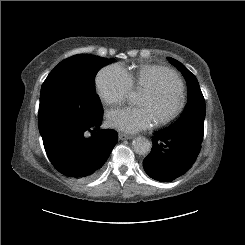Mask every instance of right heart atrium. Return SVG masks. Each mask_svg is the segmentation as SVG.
I'll return each mask as SVG.
<instances>
[{"label":"right heart atrium","instance_id":"obj_1","mask_svg":"<svg viewBox=\"0 0 245 245\" xmlns=\"http://www.w3.org/2000/svg\"><path fill=\"white\" fill-rule=\"evenodd\" d=\"M95 85L102 102L107 105L123 101L133 87L127 71L118 64L100 69L95 77Z\"/></svg>","mask_w":245,"mask_h":245}]
</instances>
